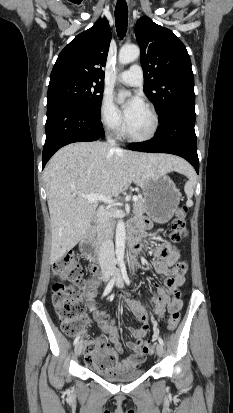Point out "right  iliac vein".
Listing matches in <instances>:
<instances>
[{"instance_id":"1","label":"right iliac vein","mask_w":233,"mask_h":413,"mask_svg":"<svg viewBox=\"0 0 233 413\" xmlns=\"http://www.w3.org/2000/svg\"><path fill=\"white\" fill-rule=\"evenodd\" d=\"M82 348H83V342L80 341L77 343V345L75 346V354L76 356H79L82 352Z\"/></svg>"}]
</instances>
